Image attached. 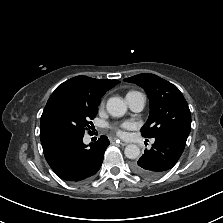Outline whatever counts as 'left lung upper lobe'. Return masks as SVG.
Returning a JSON list of instances; mask_svg holds the SVG:
<instances>
[{
  "label": "left lung upper lobe",
  "instance_id": "1",
  "mask_svg": "<svg viewBox=\"0 0 223 223\" xmlns=\"http://www.w3.org/2000/svg\"><path fill=\"white\" fill-rule=\"evenodd\" d=\"M124 81L139 85L148 95L150 116L141 129L144 137L155 138L173 133L187 139L191 130V113L184 96L175 85L148 73Z\"/></svg>",
  "mask_w": 223,
  "mask_h": 223
}]
</instances>
